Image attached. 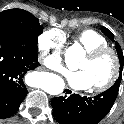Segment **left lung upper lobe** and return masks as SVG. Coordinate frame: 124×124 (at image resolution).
Returning a JSON list of instances; mask_svg holds the SVG:
<instances>
[{"instance_id":"5c2ea615","label":"left lung upper lobe","mask_w":124,"mask_h":124,"mask_svg":"<svg viewBox=\"0 0 124 124\" xmlns=\"http://www.w3.org/2000/svg\"><path fill=\"white\" fill-rule=\"evenodd\" d=\"M101 31L114 42L113 34L106 27H102ZM115 45H116L115 47H116L119 61H120V75L113 86L119 89L120 82L122 80V69H123L124 57H123L122 49L120 45L118 44V42H115Z\"/></svg>"}]
</instances>
